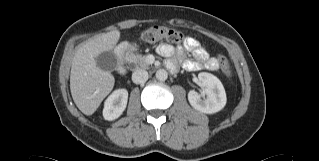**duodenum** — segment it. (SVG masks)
Wrapping results in <instances>:
<instances>
[{
    "instance_id": "duodenum-1",
    "label": "duodenum",
    "mask_w": 319,
    "mask_h": 161,
    "mask_svg": "<svg viewBox=\"0 0 319 161\" xmlns=\"http://www.w3.org/2000/svg\"><path fill=\"white\" fill-rule=\"evenodd\" d=\"M133 44H124L117 48L115 58L118 64V72L122 75L126 72V58L130 50H132Z\"/></svg>"
}]
</instances>
